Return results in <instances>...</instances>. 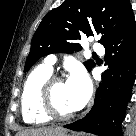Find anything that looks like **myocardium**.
<instances>
[{"mask_svg": "<svg viewBox=\"0 0 136 136\" xmlns=\"http://www.w3.org/2000/svg\"><path fill=\"white\" fill-rule=\"evenodd\" d=\"M64 82V79L60 76L51 75L46 82L44 83L41 94H40V105L44 114L50 119L65 121L73 118L76 115V112L71 113H60L55 105L53 100V90L56 84Z\"/></svg>", "mask_w": 136, "mask_h": 136, "instance_id": "f54148a6", "label": "myocardium"}]
</instances>
